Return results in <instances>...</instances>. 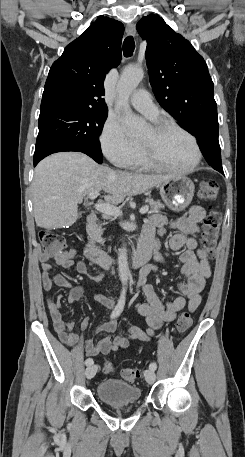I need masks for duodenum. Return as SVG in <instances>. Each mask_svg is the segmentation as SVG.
<instances>
[{
  "mask_svg": "<svg viewBox=\"0 0 245 457\" xmlns=\"http://www.w3.org/2000/svg\"><path fill=\"white\" fill-rule=\"evenodd\" d=\"M97 222V216L95 214H89L86 217V227L88 229L94 228ZM87 257L89 258L90 261L93 263L103 267V268H110L114 263L115 259L110 256L108 253L94 248V247H89L87 249ZM152 257V250L147 248V247H140L137 252L131 256L130 258V263L131 266L134 268L141 267L145 265L150 258Z\"/></svg>",
  "mask_w": 245,
  "mask_h": 457,
  "instance_id": "1",
  "label": "duodenum"
}]
</instances>
